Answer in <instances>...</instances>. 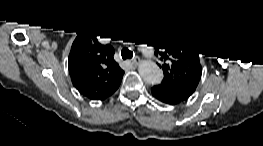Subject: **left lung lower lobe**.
<instances>
[{"instance_id": "0a47b994", "label": "left lung lower lobe", "mask_w": 263, "mask_h": 146, "mask_svg": "<svg viewBox=\"0 0 263 146\" xmlns=\"http://www.w3.org/2000/svg\"><path fill=\"white\" fill-rule=\"evenodd\" d=\"M151 91L154 97L167 104L175 105L186 100V98L180 96L170 85L166 83L153 86Z\"/></svg>"}]
</instances>
